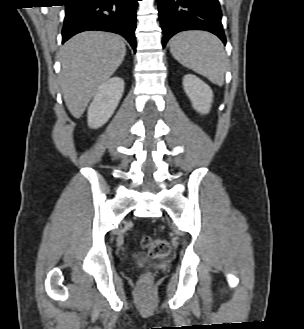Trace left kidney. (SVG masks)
<instances>
[{"instance_id": "obj_1", "label": "left kidney", "mask_w": 304, "mask_h": 329, "mask_svg": "<svg viewBox=\"0 0 304 329\" xmlns=\"http://www.w3.org/2000/svg\"><path fill=\"white\" fill-rule=\"evenodd\" d=\"M183 88L197 112L201 114L209 113L213 101V92L204 81L195 75L187 74L183 78Z\"/></svg>"}]
</instances>
